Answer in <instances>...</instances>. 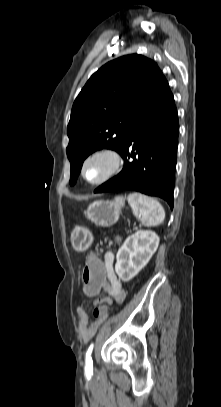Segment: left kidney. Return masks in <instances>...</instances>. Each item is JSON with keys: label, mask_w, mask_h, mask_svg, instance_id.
I'll return each mask as SVG.
<instances>
[{"label": "left kidney", "mask_w": 221, "mask_h": 407, "mask_svg": "<svg viewBox=\"0 0 221 407\" xmlns=\"http://www.w3.org/2000/svg\"><path fill=\"white\" fill-rule=\"evenodd\" d=\"M159 236L150 230H139L129 236L116 255L115 272L128 282L149 262L159 245Z\"/></svg>", "instance_id": "obj_1"}]
</instances>
